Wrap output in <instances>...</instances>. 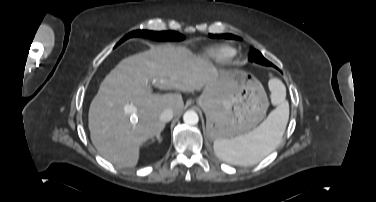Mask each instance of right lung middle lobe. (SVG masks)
<instances>
[{"instance_id": "obj_1", "label": "right lung middle lobe", "mask_w": 376, "mask_h": 202, "mask_svg": "<svg viewBox=\"0 0 376 202\" xmlns=\"http://www.w3.org/2000/svg\"><path fill=\"white\" fill-rule=\"evenodd\" d=\"M136 36L150 38L154 40H182L184 38L183 35L175 31L154 32V31H148V30H137V31H132L131 33L127 34L118 44L122 43L123 41H125L126 39L130 37H136Z\"/></svg>"}]
</instances>
